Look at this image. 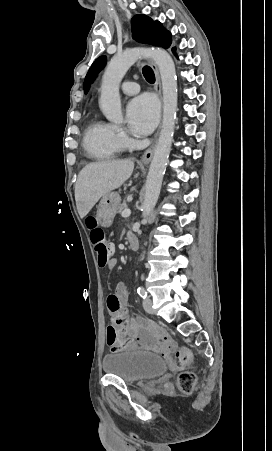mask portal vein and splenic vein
<instances>
[{
	"instance_id": "obj_1",
	"label": "portal vein and splenic vein",
	"mask_w": 272,
	"mask_h": 451,
	"mask_svg": "<svg viewBox=\"0 0 272 451\" xmlns=\"http://www.w3.org/2000/svg\"><path fill=\"white\" fill-rule=\"evenodd\" d=\"M130 214H131V210H123L122 218H129Z\"/></svg>"
}]
</instances>
